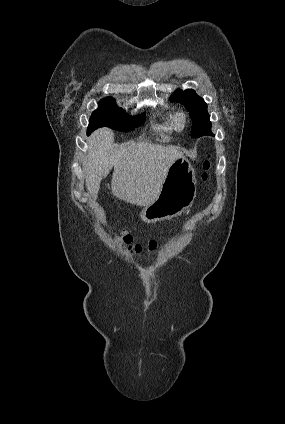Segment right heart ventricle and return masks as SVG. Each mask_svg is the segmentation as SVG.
Segmentation results:
<instances>
[{"instance_id": "obj_1", "label": "right heart ventricle", "mask_w": 285, "mask_h": 424, "mask_svg": "<svg viewBox=\"0 0 285 424\" xmlns=\"http://www.w3.org/2000/svg\"><path fill=\"white\" fill-rule=\"evenodd\" d=\"M173 120H174V114L172 113L167 114L164 122L161 125H159L157 129L161 131L163 135L171 134L174 130H176Z\"/></svg>"}]
</instances>
